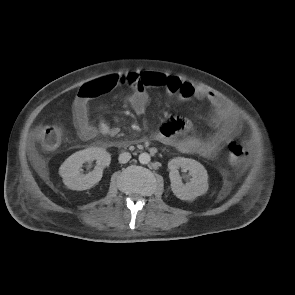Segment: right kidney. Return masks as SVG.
<instances>
[{"label":"right kidney","mask_w":295,"mask_h":295,"mask_svg":"<svg viewBox=\"0 0 295 295\" xmlns=\"http://www.w3.org/2000/svg\"><path fill=\"white\" fill-rule=\"evenodd\" d=\"M96 160L98 167L88 174H82L81 166L85 162ZM111 157L104 149L91 147L69 156L59 169L63 183L71 190H87L97 184L103 173V168L110 164Z\"/></svg>","instance_id":"1"}]
</instances>
